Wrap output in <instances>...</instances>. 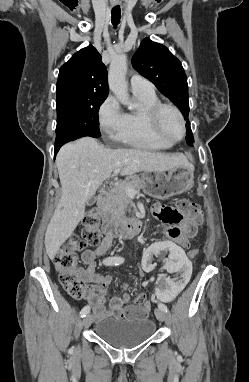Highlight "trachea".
<instances>
[{
  "label": "trachea",
  "instance_id": "3493384b",
  "mask_svg": "<svg viewBox=\"0 0 249 382\" xmlns=\"http://www.w3.org/2000/svg\"><path fill=\"white\" fill-rule=\"evenodd\" d=\"M111 14H112V16H111L112 24H113L114 27H117L118 24L120 23V19H121V9H120V6L119 5L114 6L112 8Z\"/></svg>",
  "mask_w": 249,
  "mask_h": 382
}]
</instances>
